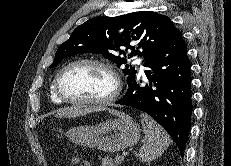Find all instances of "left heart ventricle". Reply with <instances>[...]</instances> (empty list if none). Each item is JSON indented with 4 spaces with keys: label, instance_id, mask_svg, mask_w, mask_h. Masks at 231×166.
<instances>
[{
    "label": "left heart ventricle",
    "instance_id": "obj_1",
    "mask_svg": "<svg viewBox=\"0 0 231 166\" xmlns=\"http://www.w3.org/2000/svg\"><path fill=\"white\" fill-rule=\"evenodd\" d=\"M113 82L103 68L80 64L65 70L60 77V88L72 99H96L110 93Z\"/></svg>",
    "mask_w": 231,
    "mask_h": 166
}]
</instances>
